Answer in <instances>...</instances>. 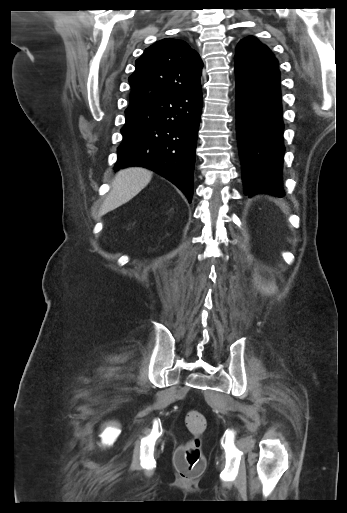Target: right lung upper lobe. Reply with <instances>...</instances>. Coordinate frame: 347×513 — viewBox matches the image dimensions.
Here are the masks:
<instances>
[{
	"label": "right lung upper lobe",
	"mask_w": 347,
	"mask_h": 513,
	"mask_svg": "<svg viewBox=\"0 0 347 513\" xmlns=\"http://www.w3.org/2000/svg\"><path fill=\"white\" fill-rule=\"evenodd\" d=\"M202 61L182 40L166 38L147 48L129 78L130 106L201 89Z\"/></svg>",
	"instance_id": "obj_1"
}]
</instances>
